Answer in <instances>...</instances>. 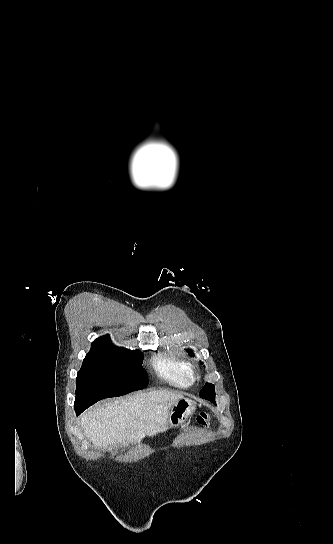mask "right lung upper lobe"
Segmentation results:
<instances>
[{"instance_id":"cb5924a9","label":"right lung upper lobe","mask_w":333,"mask_h":544,"mask_svg":"<svg viewBox=\"0 0 333 544\" xmlns=\"http://www.w3.org/2000/svg\"><path fill=\"white\" fill-rule=\"evenodd\" d=\"M113 347V344L109 340V335L99 337L94 340L91 346V350L88 354H101L108 351Z\"/></svg>"}]
</instances>
